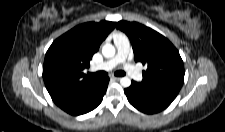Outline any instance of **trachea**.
Wrapping results in <instances>:
<instances>
[{"label": "trachea", "mask_w": 225, "mask_h": 132, "mask_svg": "<svg viewBox=\"0 0 225 132\" xmlns=\"http://www.w3.org/2000/svg\"><path fill=\"white\" fill-rule=\"evenodd\" d=\"M125 72L124 71H117L115 72V75L116 76H125ZM91 76L93 77H97V78H100V77H105L107 75L106 72H103V71H100V72H96L94 74H90Z\"/></svg>", "instance_id": "obj_1"}]
</instances>
